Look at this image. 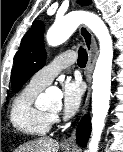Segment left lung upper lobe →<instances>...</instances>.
<instances>
[{
  "mask_svg": "<svg viewBox=\"0 0 123 152\" xmlns=\"http://www.w3.org/2000/svg\"><path fill=\"white\" fill-rule=\"evenodd\" d=\"M88 5L89 0H80ZM44 24L35 21L25 34L17 53L12 76V89L17 93L27 80L45 65L46 52L43 43Z\"/></svg>",
  "mask_w": 123,
  "mask_h": 152,
  "instance_id": "1",
  "label": "left lung upper lobe"
}]
</instances>
